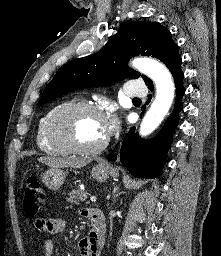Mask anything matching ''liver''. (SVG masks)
I'll use <instances>...</instances> for the list:
<instances>
[{
	"label": "liver",
	"mask_w": 221,
	"mask_h": 256,
	"mask_svg": "<svg viewBox=\"0 0 221 256\" xmlns=\"http://www.w3.org/2000/svg\"><path fill=\"white\" fill-rule=\"evenodd\" d=\"M38 161L54 169L64 167L80 168L90 162V160L76 157H40Z\"/></svg>",
	"instance_id": "6515ba94"
}]
</instances>
